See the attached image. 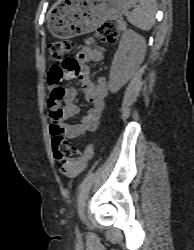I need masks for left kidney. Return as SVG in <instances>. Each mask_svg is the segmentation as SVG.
Wrapping results in <instances>:
<instances>
[{"label":"left kidney","mask_w":194,"mask_h":250,"mask_svg":"<svg viewBox=\"0 0 194 250\" xmlns=\"http://www.w3.org/2000/svg\"><path fill=\"white\" fill-rule=\"evenodd\" d=\"M146 53V41L135 31L126 30L119 42L109 78V88L119 89L134 75L143 62Z\"/></svg>","instance_id":"obj_1"}]
</instances>
